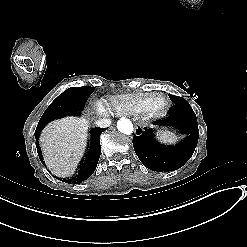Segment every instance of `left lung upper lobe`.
Segmentation results:
<instances>
[{
  "instance_id": "5c2ea615",
  "label": "left lung upper lobe",
  "mask_w": 247,
  "mask_h": 247,
  "mask_svg": "<svg viewBox=\"0 0 247 247\" xmlns=\"http://www.w3.org/2000/svg\"><path fill=\"white\" fill-rule=\"evenodd\" d=\"M170 97L172 98V100L175 103V105L189 104L185 99H183L181 97L173 96V95H170Z\"/></svg>"
}]
</instances>
